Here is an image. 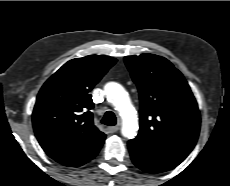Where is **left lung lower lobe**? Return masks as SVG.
Instances as JSON below:
<instances>
[{"label":"left lung lower lobe","mask_w":230,"mask_h":186,"mask_svg":"<svg viewBox=\"0 0 230 186\" xmlns=\"http://www.w3.org/2000/svg\"><path fill=\"white\" fill-rule=\"evenodd\" d=\"M128 147L133 163L148 173H161L178 166L188 155L156 148L137 139L129 140Z\"/></svg>","instance_id":"obj_1"}]
</instances>
